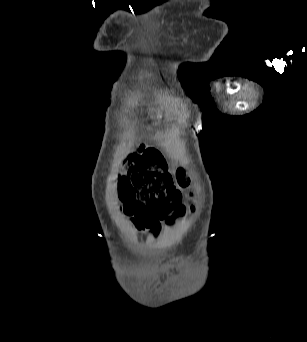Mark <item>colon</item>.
Wrapping results in <instances>:
<instances>
[{
	"label": "colon",
	"mask_w": 307,
	"mask_h": 342,
	"mask_svg": "<svg viewBox=\"0 0 307 342\" xmlns=\"http://www.w3.org/2000/svg\"><path fill=\"white\" fill-rule=\"evenodd\" d=\"M127 166L120 191L127 207H146L151 213L172 218L184 210L181 190L190 193V177L183 166L176 170V183L165 160L155 148H141Z\"/></svg>",
	"instance_id": "colon-1"
}]
</instances>
